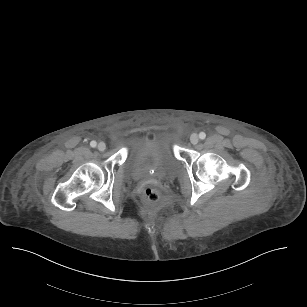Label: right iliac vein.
<instances>
[{
    "instance_id": "1",
    "label": "right iliac vein",
    "mask_w": 307,
    "mask_h": 307,
    "mask_svg": "<svg viewBox=\"0 0 307 307\" xmlns=\"http://www.w3.org/2000/svg\"><path fill=\"white\" fill-rule=\"evenodd\" d=\"M97 148L99 151H104L106 149V145L104 142H99V144L97 145Z\"/></svg>"
}]
</instances>
